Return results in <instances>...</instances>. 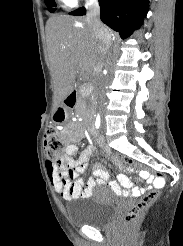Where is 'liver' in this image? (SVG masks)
I'll return each instance as SVG.
<instances>
[{
    "mask_svg": "<svg viewBox=\"0 0 183 246\" xmlns=\"http://www.w3.org/2000/svg\"><path fill=\"white\" fill-rule=\"evenodd\" d=\"M111 37L114 35L108 29ZM50 71L57 107L76 88L78 73L91 75L103 56V46L93 34L87 17L54 15L46 23Z\"/></svg>",
    "mask_w": 183,
    "mask_h": 246,
    "instance_id": "6515ba94",
    "label": "liver"
}]
</instances>
